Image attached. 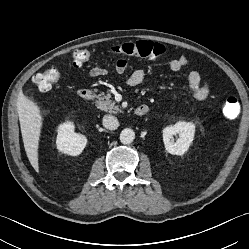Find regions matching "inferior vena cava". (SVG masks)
Instances as JSON below:
<instances>
[{
  "instance_id": "obj_1",
  "label": "inferior vena cava",
  "mask_w": 249,
  "mask_h": 249,
  "mask_svg": "<svg viewBox=\"0 0 249 249\" xmlns=\"http://www.w3.org/2000/svg\"><path fill=\"white\" fill-rule=\"evenodd\" d=\"M103 126L109 130H115L119 126L117 118L113 115H105L103 117Z\"/></svg>"
}]
</instances>
